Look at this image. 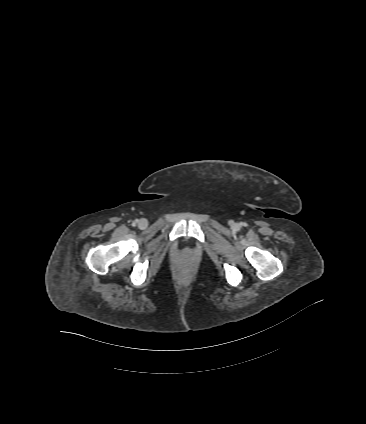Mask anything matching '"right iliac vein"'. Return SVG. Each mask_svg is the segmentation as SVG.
Returning a JSON list of instances; mask_svg holds the SVG:
<instances>
[{"mask_svg":"<svg viewBox=\"0 0 366 424\" xmlns=\"http://www.w3.org/2000/svg\"><path fill=\"white\" fill-rule=\"evenodd\" d=\"M147 225H148V221L146 220V219H140L139 220V227L140 228H145V227H147Z\"/></svg>","mask_w":366,"mask_h":424,"instance_id":"63e3f726","label":"right iliac vein"}]
</instances>
